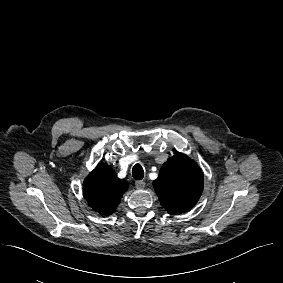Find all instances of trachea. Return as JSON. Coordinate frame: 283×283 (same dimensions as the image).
<instances>
[{"instance_id":"trachea-1","label":"trachea","mask_w":283,"mask_h":283,"mask_svg":"<svg viewBox=\"0 0 283 283\" xmlns=\"http://www.w3.org/2000/svg\"><path fill=\"white\" fill-rule=\"evenodd\" d=\"M133 178L136 180H142L144 177V170L140 164L134 165L132 169Z\"/></svg>"}]
</instances>
